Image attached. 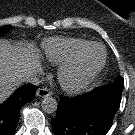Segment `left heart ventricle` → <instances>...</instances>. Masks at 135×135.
Instances as JSON below:
<instances>
[{"label":"left heart ventricle","instance_id":"obj_1","mask_svg":"<svg viewBox=\"0 0 135 135\" xmlns=\"http://www.w3.org/2000/svg\"><path fill=\"white\" fill-rule=\"evenodd\" d=\"M102 57L103 50L98 46L92 47L85 57L84 69H92L94 66L98 65L101 62Z\"/></svg>","mask_w":135,"mask_h":135}]
</instances>
